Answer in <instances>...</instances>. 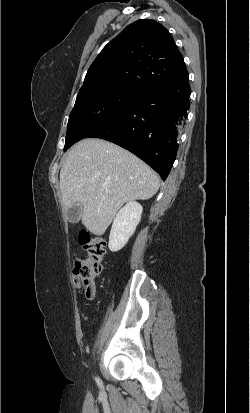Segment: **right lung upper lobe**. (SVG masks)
I'll list each match as a JSON object with an SVG mask.
<instances>
[{"label":"right lung upper lobe","mask_w":250,"mask_h":413,"mask_svg":"<svg viewBox=\"0 0 250 413\" xmlns=\"http://www.w3.org/2000/svg\"><path fill=\"white\" fill-rule=\"evenodd\" d=\"M189 80L183 57L166 28L155 20L128 25L96 57L80 90L125 85L145 91Z\"/></svg>","instance_id":"obj_1"}]
</instances>
